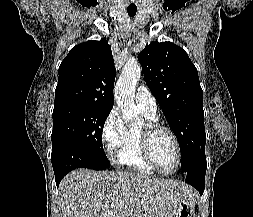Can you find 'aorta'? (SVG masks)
<instances>
[{"mask_svg":"<svg viewBox=\"0 0 253 217\" xmlns=\"http://www.w3.org/2000/svg\"><path fill=\"white\" fill-rule=\"evenodd\" d=\"M141 73V67L136 62H127L114 90L115 100L121 109L122 118L130 126L136 125L140 121V112L134 103V98L135 87Z\"/></svg>","mask_w":253,"mask_h":217,"instance_id":"obj_1","label":"aorta"}]
</instances>
